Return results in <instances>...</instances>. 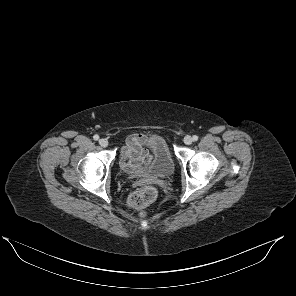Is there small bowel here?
<instances>
[{"instance_id":"1","label":"small bowel","mask_w":296,"mask_h":296,"mask_svg":"<svg viewBox=\"0 0 296 296\" xmlns=\"http://www.w3.org/2000/svg\"><path fill=\"white\" fill-rule=\"evenodd\" d=\"M146 141L143 134H133L127 138L126 145L120 151V165L125 171H139L149 164L151 152Z\"/></svg>"}]
</instances>
